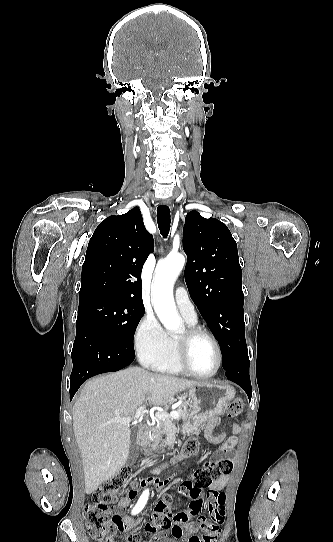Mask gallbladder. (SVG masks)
<instances>
[{"label":"gallbladder","instance_id":"1","mask_svg":"<svg viewBox=\"0 0 333 542\" xmlns=\"http://www.w3.org/2000/svg\"><path fill=\"white\" fill-rule=\"evenodd\" d=\"M137 434H138V426H135V428H131V436H130V446H129V456L127 460V466H132V464H135L138 456H139V446L137 444Z\"/></svg>","mask_w":333,"mask_h":542}]
</instances>
